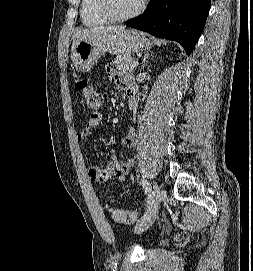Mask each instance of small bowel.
Instances as JSON below:
<instances>
[{"instance_id": "obj_1", "label": "small bowel", "mask_w": 253, "mask_h": 271, "mask_svg": "<svg viewBox=\"0 0 253 271\" xmlns=\"http://www.w3.org/2000/svg\"><path fill=\"white\" fill-rule=\"evenodd\" d=\"M107 72L111 80L115 84L119 85L126 92V94L131 92L134 93L135 95L136 86L130 76L120 74L111 68H107ZM102 122L103 115L101 113L92 114L87 125L83 130L73 132L74 138L78 142L85 141L99 129ZM134 145H135V132L134 128L131 127L127 135L121 141L120 146L124 148H133ZM104 155L108 159V164L106 166L89 165L88 166L89 178L93 182L100 183H107L112 180H116L119 182L124 181L134 164V160L132 158H128L123 162L119 161L116 156L115 150H108L104 153Z\"/></svg>"}]
</instances>
